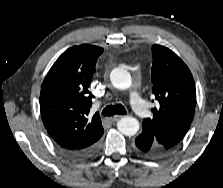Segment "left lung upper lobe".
<instances>
[{"instance_id": "obj_1", "label": "left lung upper lobe", "mask_w": 223, "mask_h": 188, "mask_svg": "<svg viewBox=\"0 0 223 188\" xmlns=\"http://www.w3.org/2000/svg\"><path fill=\"white\" fill-rule=\"evenodd\" d=\"M153 94L158 104L153 118L143 121L142 133L166 154L183 139L195 113L196 89L186 64L164 46H152Z\"/></svg>"}]
</instances>
